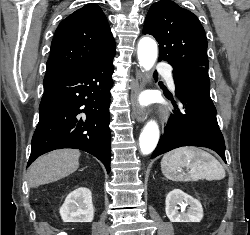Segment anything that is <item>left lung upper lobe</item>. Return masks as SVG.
I'll list each match as a JSON object with an SVG mask.
<instances>
[{"mask_svg": "<svg viewBox=\"0 0 250 235\" xmlns=\"http://www.w3.org/2000/svg\"><path fill=\"white\" fill-rule=\"evenodd\" d=\"M159 43V60L167 61L173 72L202 67L208 70L207 39L200 21L192 12L173 1L151 5L143 28Z\"/></svg>", "mask_w": 250, "mask_h": 235, "instance_id": "5c2ea615", "label": "left lung upper lobe"}]
</instances>
